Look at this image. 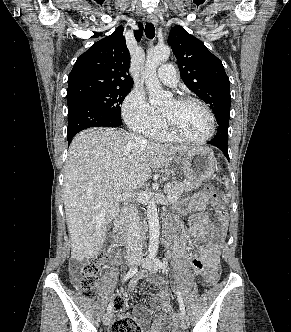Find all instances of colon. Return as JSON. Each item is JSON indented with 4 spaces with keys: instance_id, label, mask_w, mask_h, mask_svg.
<instances>
[{
    "instance_id": "obj_1",
    "label": "colon",
    "mask_w": 291,
    "mask_h": 332,
    "mask_svg": "<svg viewBox=\"0 0 291 332\" xmlns=\"http://www.w3.org/2000/svg\"><path fill=\"white\" fill-rule=\"evenodd\" d=\"M206 191L210 198L211 203L217 211V215L222 225L226 221V210L220 202L219 196L214 190L212 185L206 186ZM107 256L105 254L98 255L97 257L88 260L84 263H73L70 268V273L73 281L83 291H93L98 283V275L102 270ZM220 275V266L215 264L207 269L205 273V280L209 286L214 285ZM113 306L119 312L117 321L113 324L112 332H142L141 325L131 317L122 314L123 300L116 297L113 301Z\"/></svg>"
}]
</instances>
